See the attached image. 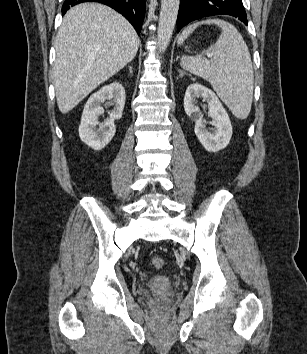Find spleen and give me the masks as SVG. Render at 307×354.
<instances>
[{
  "label": "spleen",
  "instance_id": "1",
  "mask_svg": "<svg viewBox=\"0 0 307 354\" xmlns=\"http://www.w3.org/2000/svg\"><path fill=\"white\" fill-rule=\"evenodd\" d=\"M200 24H215L222 30L216 43L207 50L212 58L207 60L202 54L183 56L180 65L207 80L233 115L238 119H246L251 110L254 88V72L248 47L233 25L212 19L186 27L178 44L181 45Z\"/></svg>",
  "mask_w": 307,
  "mask_h": 354
}]
</instances>
